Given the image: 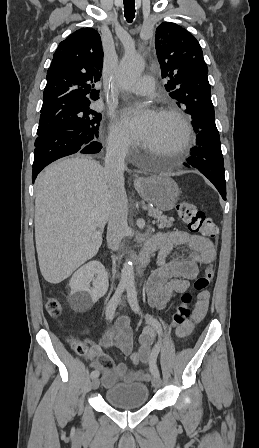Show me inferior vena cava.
<instances>
[{
    "label": "inferior vena cava",
    "instance_id": "602c4592",
    "mask_svg": "<svg viewBox=\"0 0 259 448\" xmlns=\"http://www.w3.org/2000/svg\"><path fill=\"white\" fill-rule=\"evenodd\" d=\"M128 144L123 138H112L107 146L105 158V174L113 190V206L109 216L107 230V244L110 250L116 252L127 230L128 200L124 190L123 172L124 158Z\"/></svg>",
    "mask_w": 259,
    "mask_h": 448
}]
</instances>
